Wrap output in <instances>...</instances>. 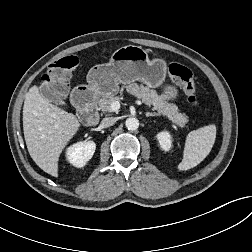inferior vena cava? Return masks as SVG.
I'll return each mask as SVG.
<instances>
[{"label":"inferior vena cava","instance_id":"1","mask_svg":"<svg viewBox=\"0 0 252 252\" xmlns=\"http://www.w3.org/2000/svg\"><path fill=\"white\" fill-rule=\"evenodd\" d=\"M114 123H115V118H113V117H107V118H103L102 119V121L100 123V126L102 128H107V127L112 126Z\"/></svg>","mask_w":252,"mask_h":252}]
</instances>
